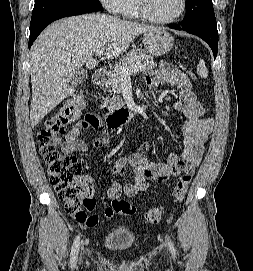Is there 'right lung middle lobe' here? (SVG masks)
<instances>
[{
  "label": "right lung middle lobe",
  "instance_id": "1",
  "mask_svg": "<svg viewBox=\"0 0 253 271\" xmlns=\"http://www.w3.org/2000/svg\"><path fill=\"white\" fill-rule=\"evenodd\" d=\"M69 9L93 12L101 11L103 8L99 0H36L30 26L51 13Z\"/></svg>",
  "mask_w": 253,
  "mask_h": 271
}]
</instances>
